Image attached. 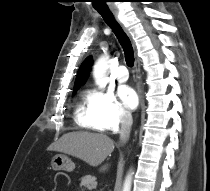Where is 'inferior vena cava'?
<instances>
[{
  "mask_svg": "<svg viewBox=\"0 0 210 191\" xmlns=\"http://www.w3.org/2000/svg\"><path fill=\"white\" fill-rule=\"evenodd\" d=\"M120 144H125L130 136L131 126L133 123L132 115L128 111H124L120 117Z\"/></svg>",
  "mask_w": 210,
  "mask_h": 191,
  "instance_id": "1",
  "label": "inferior vena cava"
}]
</instances>
